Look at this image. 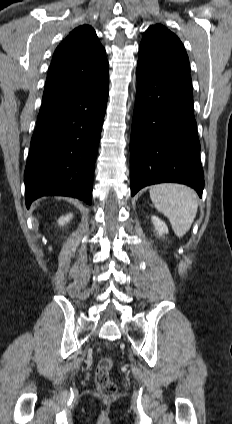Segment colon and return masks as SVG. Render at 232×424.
<instances>
[{
    "label": "colon",
    "mask_w": 232,
    "mask_h": 424,
    "mask_svg": "<svg viewBox=\"0 0 232 424\" xmlns=\"http://www.w3.org/2000/svg\"><path fill=\"white\" fill-rule=\"evenodd\" d=\"M113 367L111 358H101L98 361L95 371V384L98 392L107 398L114 397L117 393V385L110 378V371Z\"/></svg>",
    "instance_id": "5ec220e1"
}]
</instances>
